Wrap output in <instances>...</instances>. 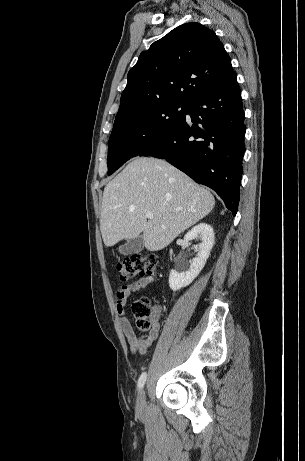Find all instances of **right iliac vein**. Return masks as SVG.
I'll return each mask as SVG.
<instances>
[{"instance_id":"63e3f726","label":"right iliac vein","mask_w":305,"mask_h":461,"mask_svg":"<svg viewBox=\"0 0 305 461\" xmlns=\"http://www.w3.org/2000/svg\"><path fill=\"white\" fill-rule=\"evenodd\" d=\"M145 407V392L142 389L137 397V408L139 411H142Z\"/></svg>"}]
</instances>
